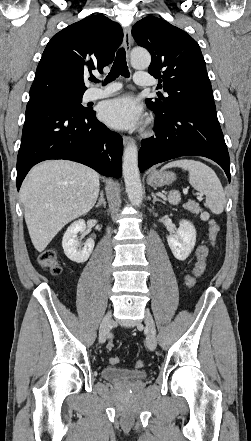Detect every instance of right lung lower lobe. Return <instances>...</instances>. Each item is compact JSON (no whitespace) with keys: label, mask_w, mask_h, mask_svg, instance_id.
<instances>
[{"label":"right lung lower lobe","mask_w":251,"mask_h":441,"mask_svg":"<svg viewBox=\"0 0 251 441\" xmlns=\"http://www.w3.org/2000/svg\"><path fill=\"white\" fill-rule=\"evenodd\" d=\"M122 137L100 123L93 110L76 113L29 101L17 157V190L28 171L48 159L85 164L102 175L121 177Z\"/></svg>","instance_id":"obj_1"}]
</instances>
